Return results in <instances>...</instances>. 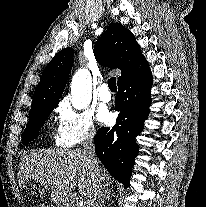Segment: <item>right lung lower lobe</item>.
Returning a JSON list of instances; mask_svg holds the SVG:
<instances>
[{
  "instance_id": "1",
  "label": "right lung lower lobe",
  "mask_w": 206,
  "mask_h": 207,
  "mask_svg": "<svg viewBox=\"0 0 206 207\" xmlns=\"http://www.w3.org/2000/svg\"><path fill=\"white\" fill-rule=\"evenodd\" d=\"M152 75L144 59L129 75L118 81L115 109L120 111L113 128L102 127L94 138L96 154L109 173L129 185L138 154L135 137L143 130L150 113Z\"/></svg>"
}]
</instances>
